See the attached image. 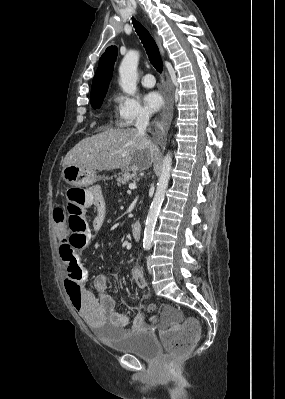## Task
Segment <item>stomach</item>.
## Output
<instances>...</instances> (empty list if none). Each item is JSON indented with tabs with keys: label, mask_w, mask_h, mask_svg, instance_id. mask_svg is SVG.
I'll list each match as a JSON object with an SVG mask.
<instances>
[{
	"label": "stomach",
	"mask_w": 285,
	"mask_h": 399,
	"mask_svg": "<svg viewBox=\"0 0 285 399\" xmlns=\"http://www.w3.org/2000/svg\"><path fill=\"white\" fill-rule=\"evenodd\" d=\"M63 180L74 187H87L96 181L93 172L77 165H67L62 170Z\"/></svg>",
	"instance_id": "obj_1"
}]
</instances>
